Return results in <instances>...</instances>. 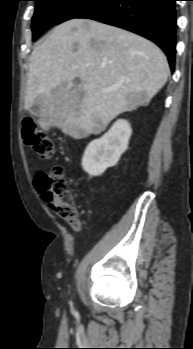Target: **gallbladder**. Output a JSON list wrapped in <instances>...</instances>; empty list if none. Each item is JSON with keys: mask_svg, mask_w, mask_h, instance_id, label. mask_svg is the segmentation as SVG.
<instances>
[{"mask_svg": "<svg viewBox=\"0 0 193 349\" xmlns=\"http://www.w3.org/2000/svg\"><path fill=\"white\" fill-rule=\"evenodd\" d=\"M40 111V107L38 103H34L30 108L29 112L33 115H37Z\"/></svg>", "mask_w": 193, "mask_h": 349, "instance_id": "bac80fb5", "label": "gallbladder"}]
</instances>
